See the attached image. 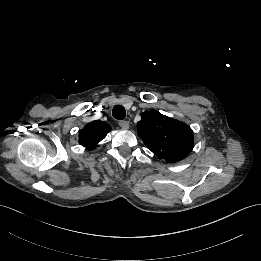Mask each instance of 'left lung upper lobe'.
<instances>
[{"label":"left lung upper lobe","instance_id":"5c2ea615","mask_svg":"<svg viewBox=\"0 0 261 261\" xmlns=\"http://www.w3.org/2000/svg\"><path fill=\"white\" fill-rule=\"evenodd\" d=\"M137 129L146 147L169 163L184 159L193 148L190 127L159 112H144Z\"/></svg>","mask_w":261,"mask_h":261}]
</instances>
